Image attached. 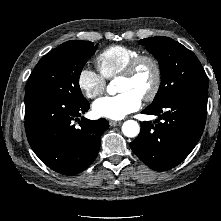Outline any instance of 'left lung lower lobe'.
<instances>
[{
	"mask_svg": "<svg viewBox=\"0 0 221 221\" xmlns=\"http://www.w3.org/2000/svg\"><path fill=\"white\" fill-rule=\"evenodd\" d=\"M208 90L191 89L142 111L158 115L160 122L141 123L138 137L130 143L132 151L147 166L166 171L181 163L199 141L206 121Z\"/></svg>",
	"mask_w": 221,
	"mask_h": 221,
	"instance_id": "obj_1",
	"label": "left lung lower lobe"
}]
</instances>
